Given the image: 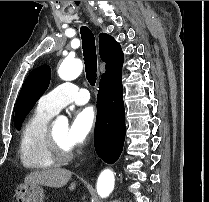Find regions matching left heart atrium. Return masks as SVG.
Wrapping results in <instances>:
<instances>
[{
	"mask_svg": "<svg viewBox=\"0 0 209 202\" xmlns=\"http://www.w3.org/2000/svg\"><path fill=\"white\" fill-rule=\"evenodd\" d=\"M97 114L93 106H85L74 112L68 127L66 141L70 147H75L86 142L93 132Z\"/></svg>",
	"mask_w": 209,
	"mask_h": 202,
	"instance_id": "39dd6f15",
	"label": "left heart atrium"
}]
</instances>
